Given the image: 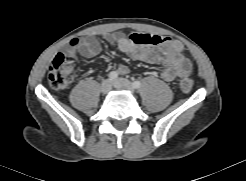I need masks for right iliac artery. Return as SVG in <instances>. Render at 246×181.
I'll return each instance as SVG.
<instances>
[{
  "label": "right iliac artery",
  "instance_id": "obj_1",
  "mask_svg": "<svg viewBox=\"0 0 246 181\" xmlns=\"http://www.w3.org/2000/svg\"><path fill=\"white\" fill-rule=\"evenodd\" d=\"M108 78H109V80H111V81H112V80H115V79L118 78V73H117L116 71H112V72L109 73Z\"/></svg>",
  "mask_w": 246,
  "mask_h": 181
}]
</instances>
